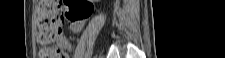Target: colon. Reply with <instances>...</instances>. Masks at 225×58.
<instances>
[{
    "label": "colon",
    "instance_id": "1",
    "mask_svg": "<svg viewBox=\"0 0 225 58\" xmlns=\"http://www.w3.org/2000/svg\"><path fill=\"white\" fill-rule=\"evenodd\" d=\"M92 9V2L85 0H64V5H57V1H38L37 40L50 45V48L43 52L44 57L62 58L63 48L59 41L63 38L61 28L64 17L70 21H81L90 15Z\"/></svg>",
    "mask_w": 225,
    "mask_h": 58
}]
</instances>
